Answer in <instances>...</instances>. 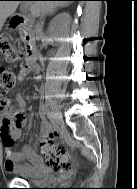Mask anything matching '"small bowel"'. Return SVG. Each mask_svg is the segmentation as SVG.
Returning <instances> with one entry per match:
<instances>
[{
  "label": "small bowel",
  "instance_id": "obj_1",
  "mask_svg": "<svg viewBox=\"0 0 137 189\" xmlns=\"http://www.w3.org/2000/svg\"><path fill=\"white\" fill-rule=\"evenodd\" d=\"M29 73H33L36 80H41L42 78L39 70L32 71L28 67L21 70L20 77L23 79ZM26 109L27 103L21 95L16 96L15 106H11L6 99H0V139L4 147V168L11 174H27L42 163L40 155L30 147H24L20 152L13 149L15 140L21 136ZM19 120L20 124L18 125ZM41 133L44 140L52 137L56 143L57 133L52 132L48 125H43ZM25 159L29 163H25Z\"/></svg>",
  "mask_w": 137,
  "mask_h": 189
}]
</instances>
